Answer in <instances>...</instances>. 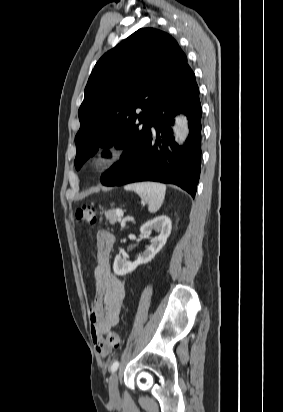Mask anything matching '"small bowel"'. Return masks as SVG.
I'll return each instance as SVG.
<instances>
[{
	"mask_svg": "<svg viewBox=\"0 0 283 412\" xmlns=\"http://www.w3.org/2000/svg\"><path fill=\"white\" fill-rule=\"evenodd\" d=\"M115 243L114 236L105 230L96 235L97 259L94 268V299L89 308L90 333L97 350L101 348L106 333L119 321L120 308L125 298V286L110 268V257Z\"/></svg>",
	"mask_w": 283,
	"mask_h": 412,
	"instance_id": "1",
	"label": "small bowel"
}]
</instances>
